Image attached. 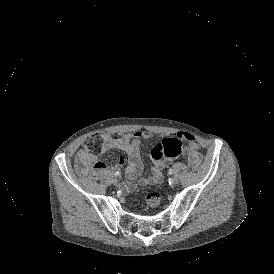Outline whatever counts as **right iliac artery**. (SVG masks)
Here are the masks:
<instances>
[{"instance_id": "82829eb1", "label": "right iliac artery", "mask_w": 274, "mask_h": 274, "mask_svg": "<svg viewBox=\"0 0 274 274\" xmlns=\"http://www.w3.org/2000/svg\"><path fill=\"white\" fill-rule=\"evenodd\" d=\"M114 175L117 177V176L120 175V173L117 171V172L114 173Z\"/></svg>"}]
</instances>
